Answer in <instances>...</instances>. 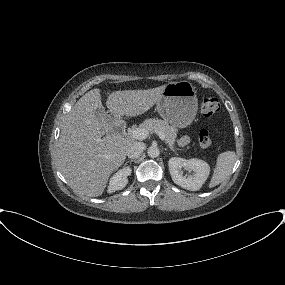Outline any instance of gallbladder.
Instances as JSON below:
<instances>
[{
    "label": "gallbladder",
    "mask_w": 285,
    "mask_h": 285,
    "mask_svg": "<svg viewBox=\"0 0 285 285\" xmlns=\"http://www.w3.org/2000/svg\"><path fill=\"white\" fill-rule=\"evenodd\" d=\"M95 116L98 119L99 123L101 124L103 130L107 129V124L110 121L108 119V114L105 112L103 107H98L95 110Z\"/></svg>",
    "instance_id": "gallbladder-1"
}]
</instances>
